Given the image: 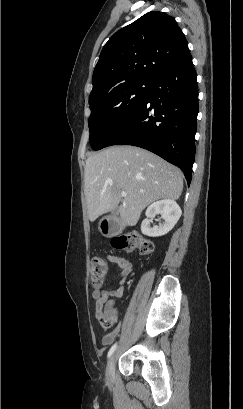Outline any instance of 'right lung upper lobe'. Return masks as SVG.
I'll return each mask as SVG.
<instances>
[{
	"label": "right lung upper lobe",
	"mask_w": 243,
	"mask_h": 409,
	"mask_svg": "<svg viewBox=\"0 0 243 409\" xmlns=\"http://www.w3.org/2000/svg\"><path fill=\"white\" fill-rule=\"evenodd\" d=\"M188 43L172 16L151 11L113 34L93 72L89 104L134 82L151 83L186 50Z\"/></svg>",
	"instance_id": "right-lung-upper-lobe-1"
}]
</instances>
